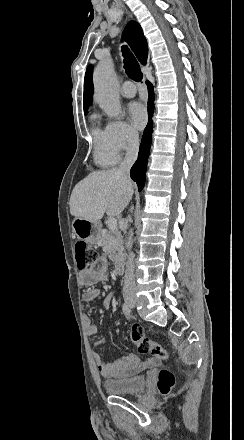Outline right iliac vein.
Instances as JSON below:
<instances>
[{"label": "right iliac vein", "mask_w": 244, "mask_h": 440, "mask_svg": "<svg viewBox=\"0 0 244 440\" xmlns=\"http://www.w3.org/2000/svg\"><path fill=\"white\" fill-rule=\"evenodd\" d=\"M126 302H127L128 304H130V305H131V304H132V302H133V299L127 298V299H126Z\"/></svg>", "instance_id": "63e3f726"}]
</instances>
